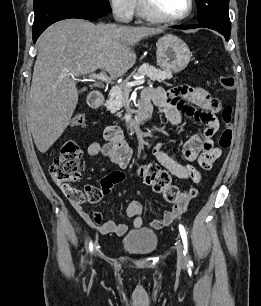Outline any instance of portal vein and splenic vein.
Wrapping results in <instances>:
<instances>
[{"mask_svg": "<svg viewBox=\"0 0 261 306\" xmlns=\"http://www.w3.org/2000/svg\"><path fill=\"white\" fill-rule=\"evenodd\" d=\"M88 79L90 81L99 80V81H102V82H105V83H111L112 82V79L110 77H108V75L104 71H101L100 73H97V74L92 73L88 76ZM144 82H145V80L141 79V80H137V81H133V82H128L126 84V86L127 87L137 86V85L144 84Z\"/></svg>", "mask_w": 261, "mask_h": 306, "instance_id": "18ae733b", "label": "portal vein and splenic vein"}]
</instances>
